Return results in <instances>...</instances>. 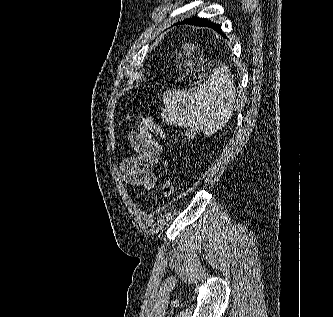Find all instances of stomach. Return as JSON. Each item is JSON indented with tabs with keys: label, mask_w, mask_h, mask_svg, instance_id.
<instances>
[{
	"label": "stomach",
	"mask_w": 333,
	"mask_h": 317,
	"mask_svg": "<svg viewBox=\"0 0 333 317\" xmlns=\"http://www.w3.org/2000/svg\"><path fill=\"white\" fill-rule=\"evenodd\" d=\"M185 50L191 51L195 47L192 44H184L182 46ZM222 62H216L215 67L216 69H222L221 67ZM187 67H191V62L187 64ZM210 74H215V71H200V75H184L183 81L185 88H196V82H229V81H210Z\"/></svg>",
	"instance_id": "0dacf381"
}]
</instances>
